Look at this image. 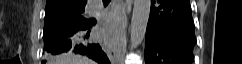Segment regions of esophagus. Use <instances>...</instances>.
<instances>
[{
  "label": "esophagus",
  "instance_id": "esophagus-1",
  "mask_svg": "<svg viewBox=\"0 0 242 64\" xmlns=\"http://www.w3.org/2000/svg\"><path fill=\"white\" fill-rule=\"evenodd\" d=\"M131 5H132V0H126L124 5H123V10H122V29H124L125 26H126L127 14L130 13Z\"/></svg>",
  "mask_w": 242,
  "mask_h": 64
}]
</instances>
